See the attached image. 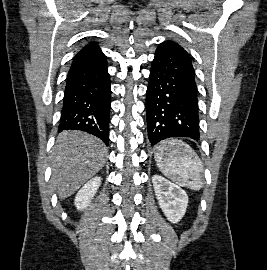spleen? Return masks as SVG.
Wrapping results in <instances>:
<instances>
[{
    "instance_id": "3e777b00",
    "label": "spleen",
    "mask_w": 267,
    "mask_h": 270,
    "mask_svg": "<svg viewBox=\"0 0 267 270\" xmlns=\"http://www.w3.org/2000/svg\"><path fill=\"white\" fill-rule=\"evenodd\" d=\"M154 158L161 172L175 183L193 190L202 188L203 165L188 144L177 139L164 140Z\"/></svg>"
}]
</instances>
